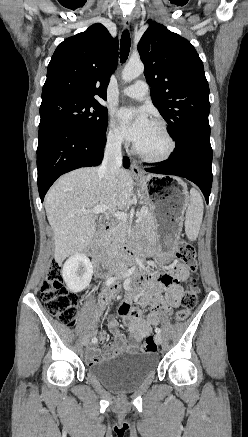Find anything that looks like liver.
Masks as SVG:
<instances>
[{
	"instance_id": "obj_1",
	"label": "liver",
	"mask_w": 248,
	"mask_h": 437,
	"mask_svg": "<svg viewBox=\"0 0 248 437\" xmlns=\"http://www.w3.org/2000/svg\"><path fill=\"white\" fill-rule=\"evenodd\" d=\"M134 182L131 174L120 169L117 183L111 186L98 168H80L60 177L45 197V210L54 232L57 263L82 252L96 234L95 214H83L105 205L110 209L123 210L130 203Z\"/></svg>"
}]
</instances>
